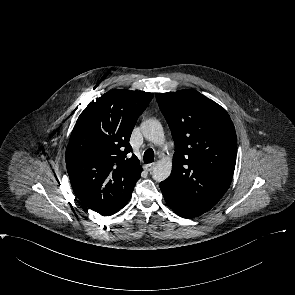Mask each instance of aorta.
<instances>
[{
  "label": "aorta",
  "mask_w": 295,
  "mask_h": 295,
  "mask_svg": "<svg viewBox=\"0 0 295 295\" xmlns=\"http://www.w3.org/2000/svg\"><path fill=\"white\" fill-rule=\"evenodd\" d=\"M141 132L146 140L154 144H163L165 137L161 123L157 119H148L142 122ZM172 170V161L169 158L161 159L157 162L152 170V177L155 181L161 182L166 180Z\"/></svg>",
  "instance_id": "obj_1"
}]
</instances>
